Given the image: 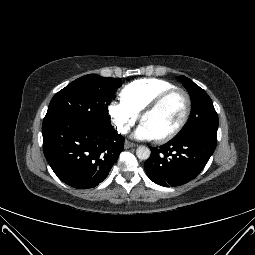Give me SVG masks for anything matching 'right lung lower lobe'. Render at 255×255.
I'll list each match as a JSON object with an SVG mask.
<instances>
[{
	"mask_svg": "<svg viewBox=\"0 0 255 255\" xmlns=\"http://www.w3.org/2000/svg\"><path fill=\"white\" fill-rule=\"evenodd\" d=\"M43 151L54 173L77 189L97 186L109 174L124 148L113 128L97 129L78 119L43 122Z\"/></svg>",
	"mask_w": 255,
	"mask_h": 255,
	"instance_id": "1",
	"label": "right lung lower lobe"
}]
</instances>
